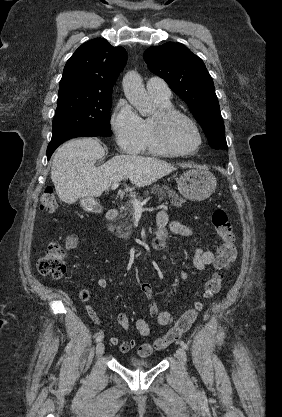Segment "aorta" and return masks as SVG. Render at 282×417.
<instances>
[{"label": "aorta", "mask_w": 282, "mask_h": 417, "mask_svg": "<svg viewBox=\"0 0 282 417\" xmlns=\"http://www.w3.org/2000/svg\"><path fill=\"white\" fill-rule=\"evenodd\" d=\"M122 84L127 100L139 110L142 116H146L154 110L143 80L136 70H128L123 76Z\"/></svg>", "instance_id": "aorta-1"}]
</instances>
